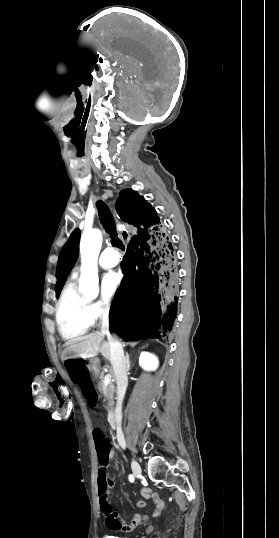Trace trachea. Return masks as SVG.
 Wrapping results in <instances>:
<instances>
[{"mask_svg": "<svg viewBox=\"0 0 279 538\" xmlns=\"http://www.w3.org/2000/svg\"><path fill=\"white\" fill-rule=\"evenodd\" d=\"M96 206L98 209L99 220L101 224L103 225V228H105L106 232H108L112 237L111 243L113 247L123 249L124 245L122 241L119 238H117L114 218L108 206L101 200L97 202Z\"/></svg>", "mask_w": 279, "mask_h": 538, "instance_id": "obj_1", "label": "trachea"}]
</instances>
